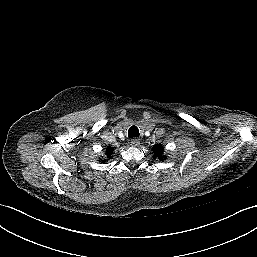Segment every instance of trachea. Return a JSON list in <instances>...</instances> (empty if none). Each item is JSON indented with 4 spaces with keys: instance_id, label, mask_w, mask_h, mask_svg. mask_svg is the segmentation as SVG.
<instances>
[{
    "instance_id": "1",
    "label": "trachea",
    "mask_w": 257,
    "mask_h": 257,
    "mask_svg": "<svg viewBox=\"0 0 257 257\" xmlns=\"http://www.w3.org/2000/svg\"><path fill=\"white\" fill-rule=\"evenodd\" d=\"M139 136V130L136 126H131L128 130V137L133 138V137H138Z\"/></svg>"
}]
</instances>
